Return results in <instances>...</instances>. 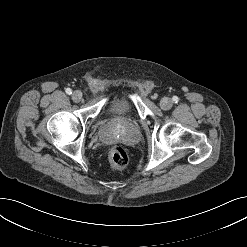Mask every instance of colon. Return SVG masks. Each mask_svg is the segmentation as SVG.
I'll use <instances>...</instances> for the list:
<instances>
[{
	"mask_svg": "<svg viewBox=\"0 0 247 247\" xmlns=\"http://www.w3.org/2000/svg\"><path fill=\"white\" fill-rule=\"evenodd\" d=\"M108 159L112 166L117 169H123L129 163V155L127 151L119 145H115L110 148Z\"/></svg>",
	"mask_w": 247,
	"mask_h": 247,
	"instance_id": "5ec220e1",
	"label": "colon"
}]
</instances>
